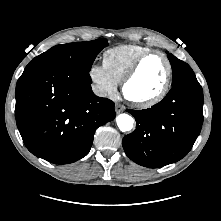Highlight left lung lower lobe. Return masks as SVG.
I'll return each instance as SVG.
<instances>
[{"instance_id": "0a47b994", "label": "left lung lower lobe", "mask_w": 221, "mask_h": 221, "mask_svg": "<svg viewBox=\"0 0 221 221\" xmlns=\"http://www.w3.org/2000/svg\"><path fill=\"white\" fill-rule=\"evenodd\" d=\"M136 129L123 138L126 155L135 163L162 167L191 150L203 123V90L196 78L172 86L166 97L145 110H127Z\"/></svg>"}]
</instances>
